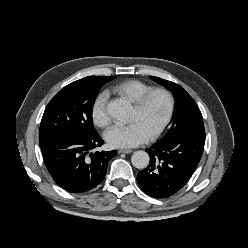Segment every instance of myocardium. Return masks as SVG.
<instances>
[{"label": "myocardium", "instance_id": "f54148a6", "mask_svg": "<svg viewBox=\"0 0 248 248\" xmlns=\"http://www.w3.org/2000/svg\"><path fill=\"white\" fill-rule=\"evenodd\" d=\"M156 94L163 95L167 100V113L160 125L149 135L151 139H155L160 136L170 124L174 111H175V100L172 93L162 87L151 88L144 93L137 101L134 102V107L138 110H143L147 105L150 98Z\"/></svg>", "mask_w": 248, "mask_h": 248}]
</instances>
